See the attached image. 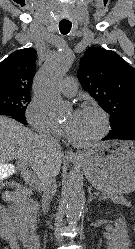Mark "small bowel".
Segmentation results:
<instances>
[{
  "instance_id": "obj_1",
  "label": "small bowel",
  "mask_w": 135,
  "mask_h": 249,
  "mask_svg": "<svg viewBox=\"0 0 135 249\" xmlns=\"http://www.w3.org/2000/svg\"><path fill=\"white\" fill-rule=\"evenodd\" d=\"M0 237L8 241L10 249H21L24 244L25 229L12 206L0 205Z\"/></svg>"
}]
</instances>
